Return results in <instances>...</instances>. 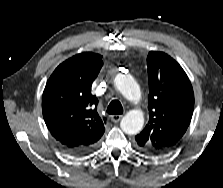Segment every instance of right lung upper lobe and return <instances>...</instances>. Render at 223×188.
Masks as SVG:
<instances>
[{
    "label": "right lung upper lobe",
    "instance_id": "right-lung-upper-lobe-1",
    "mask_svg": "<svg viewBox=\"0 0 223 188\" xmlns=\"http://www.w3.org/2000/svg\"><path fill=\"white\" fill-rule=\"evenodd\" d=\"M103 66L102 56L84 52L61 63L43 92L42 111L52 136L66 148L96 146L104 121L96 111L91 85Z\"/></svg>",
    "mask_w": 223,
    "mask_h": 188
}]
</instances>
